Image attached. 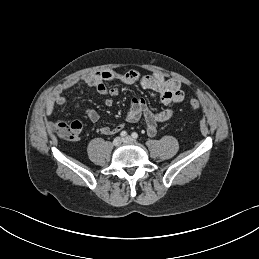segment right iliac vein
<instances>
[{
    "label": "right iliac vein",
    "instance_id": "obj_1",
    "mask_svg": "<svg viewBox=\"0 0 259 259\" xmlns=\"http://www.w3.org/2000/svg\"><path fill=\"white\" fill-rule=\"evenodd\" d=\"M122 142H123V139H122L121 137H116V138L113 140V145H114V146H119Z\"/></svg>",
    "mask_w": 259,
    "mask_h": 259
}]
</instances>
